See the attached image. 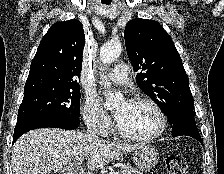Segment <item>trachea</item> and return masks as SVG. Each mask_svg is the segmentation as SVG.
<instances>
[{"label": "trachea", "instance_id": "trachea-1", "mask_svg": "<svg viewBox=\"0 0 224 174\" xmlns=\"http://www.w3.org/2000/svg\"><path fill=\"white\" fill-rule=\"evenodd\" d=\"M108 0H102V3H105V4H109L110 2H107Z\"/></svg>", "mask_w": 224, "mask_h": 174}]
</instances>
